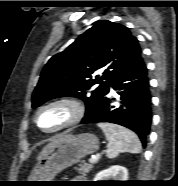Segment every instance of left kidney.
<instances>
[{
  "label": "left kidney",
  "mask_w": 178,
  "mask_h": 186,
  "mask_svg": "<svg viewBox=\"0 0 178 186\" xmlns=\"http://www.w3.org/2000/svg\"><path fill=\"white\" fill-rule=\"evenodd\" d=\"M128 171L125 167L115 165L97 173L94 181H127Z\"/></svg>",
  "instance_id": "left-kidney-1"
}]
</instances>
